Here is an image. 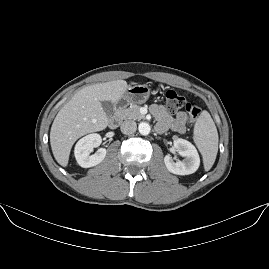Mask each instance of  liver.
<instances>
[{"mask_svg": "<svg viewBox=\"0 0 269 269\" xmlns=\"http://www.w3.org/2000/svg\"><path fill=\"white\" fill-rule=\"evenodd\" d=\"M126 89L124 80L91 85L80 90L63 106L50 133L53 154L58 163L67 165L70 149L80 136L107 126L108 118L101 101H117Z\"/></svg>", "mask_w": 269, "mask_h": 269, "instance_id": "obj_1", "label": "liver"}]
</instances>
